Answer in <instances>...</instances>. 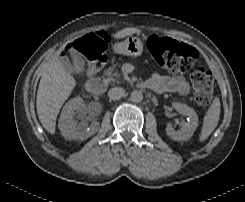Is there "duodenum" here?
Here are the masks:
<instances>
[{"label":"duodenum","mask_w":245,"mask_h":202,"mask_svg":"<svg viewBox=\"0 0 245 202\" xmlns=\"http://www.w3.org/2000/svg\"><path fill=\"white\" fill-rule=\"evenodd\" d=\"M106 82L103 77H94L88 80L86 89L92 96H99L105 90ZM143 86L149 90L156 92L154 87L147 81L143 83Z\"/></svg>","instance_id":"410a0bca"}]
</instances>
